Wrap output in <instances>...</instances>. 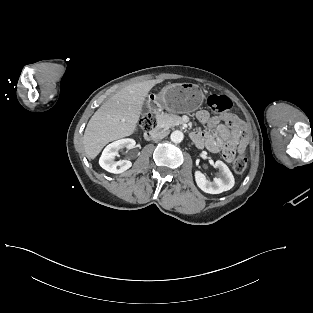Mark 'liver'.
I'll return each mask as SVG.
<instances>
[{
  "label": "liver",
  "instance_id": "liver-1",
  "mask_svg": "<svg viewBox=\"0 0 313 313\" xmlns=\"http://www.w3.org/2000/svg\"><path fill=\"white\" fill-rule=\"evenodd\" d=\"M162 79L135 83L118 91L94 113L83 136L88 159H94L103 147L134 133L145 97Z\"/></svg>",
  "mask_w": 313,
  "mask_h": 313
}]
</instances>
